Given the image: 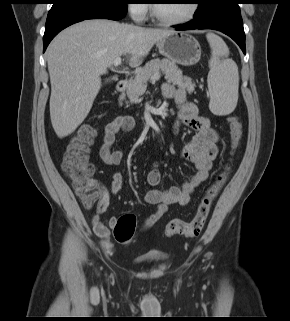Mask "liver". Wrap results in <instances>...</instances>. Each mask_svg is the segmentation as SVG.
Masks as SVG:
<instances>
[{"label":"liver","mask_w":290,"mask_h":321,"mask_svg":"<svg viewBox=\"0 0 290 321\" xmlns=\"http://www.w3.org/2000/svg\"><path fill=\"white\" fill-rule=\"evenodd\" d=\"M172 32L106 19L85 20L60 32L46 51L50 118L56 135L66 137L84 121L100 90L101 75L114 59L129 55L130 65L138 66Z\"/></svg>","instance_id":"1"}]
</instances>
